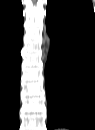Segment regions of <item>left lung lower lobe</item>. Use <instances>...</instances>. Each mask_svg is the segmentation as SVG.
I'll list each match as a JSON object with an SVG mask.
<instances>
[{
  "mask_svg": "<svg viewBox=\"0 0 95 130\" xmlns=\"http://www.w3.org/2000/svg\"><path fill=\"white\" fill-rule=\"evenodd\" d=\"M48 128L95 130V21L46 13Z\"/></svg>",
  "mask_w": 95,
  "mask_h": 130,
  "instance_id": "left-lung-lower-lobe-1",
  "label": "left lung lower lobe"
}]
</instances>
